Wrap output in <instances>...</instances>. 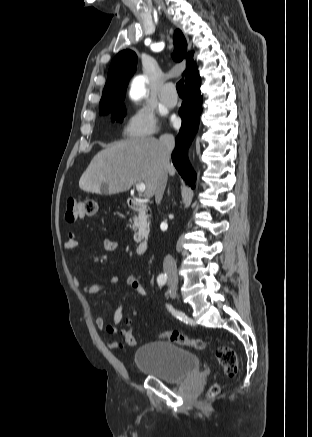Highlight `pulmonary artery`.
Listing matches in <instances>:
<instances>
[{
    "instance_id": "e3ab8cb5",
    "label": "pulmonary artery",
    "mask_w": 312,
    "mask_h": 437,
    "mask_svg": "<svg viewBox=\"0 0 312 437\" xmlns=\"http://www.w3.org/2000/svg\"><path fill=\"white\" fill-rule=\"evenodd\" d=\"M159 99L168 107H174L177 104L178 96L175 91H173V86L171 83H167L162 87L159 93Z\"/></svg>"
}]
</instances>
